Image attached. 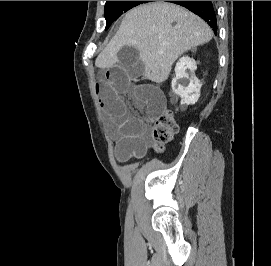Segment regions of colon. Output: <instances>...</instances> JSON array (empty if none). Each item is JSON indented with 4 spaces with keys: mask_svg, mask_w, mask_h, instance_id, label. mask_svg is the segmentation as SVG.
<instances>
[{
    "mask_svg": "<svg viewBox=\"0 0 271 266\" xmlns=\"http://www.w3.org/2000/svg\"><path fill=\"white\" fill-rule=\"evenodd\" d=\"M177 130L178 126L171 111L167 110L160 114L152 128V139L156 150L161 151L163 145L171 141Z\"/></svg>",
    "mask_w": 271,
    "mask_h": 266,
    "instance_id": "5ec220e1",
    "label": "colon"
}]
</instances>
